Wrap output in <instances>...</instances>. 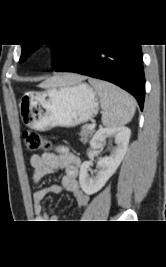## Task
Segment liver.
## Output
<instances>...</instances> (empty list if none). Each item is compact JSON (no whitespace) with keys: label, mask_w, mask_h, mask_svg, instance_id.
Instances as JSON below:
<instances>
[{"label":"liver","mask_w":166,"mask_h":267,"mask_svg":"<svg viewBox=\"0 0 166 267\" xmlns=\"http://www.w3.org/2000/svg\"><path fill=\"white\" fill-rule=\"evenodd\" d=\"M84 79H85L84 77L76 74H63V75L53 76L47 79L40 86L42 88L68 86L80 83Z\"/></svg>","instance_id":"liver-1"}]
</instances>
